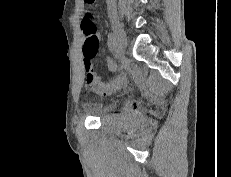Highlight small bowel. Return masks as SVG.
Returning a JSON list of instances; mask_svg holds the SVG:
<instances>
[{
    "mask_svg": "<svg viewBox=\"0 0 231 177\" xmlns=\"http://www.w3.org/2000/svg\"><path fill=\"white\" fill-rule=\"evenodd\" d=\"M84 68H85V73H86V84L103 94H108L111 93L112 91L122 87L124 84L127 83V78L125 75H120L114 80H112L109 83H103L100 78L94 73L93 71V65L91 60H87L84 57Z\"/></svg>",
    "mask_w": 231,
    "mask_h": 177,
    "instance_id": "small-bowel-1",
    "label": "small bowel"
}]
</instances>
